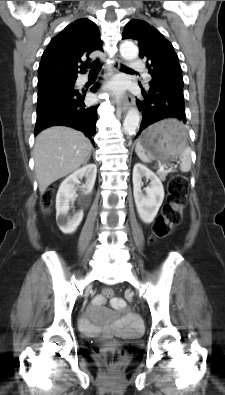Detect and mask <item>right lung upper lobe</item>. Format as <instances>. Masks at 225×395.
<instances>
[{"mask_svg":"<svg viewBox=\"0 0 225 395\" xmlns=\"http://www.w3.org/2000/svg\"><path fill=\"white\" fill-rule=\"evenodd\" d=\"M97 50L103 51L100 31L94 22L83 18L69 24L50 41L42 55L38 87L76 80L77 68L86 72L84 64L78 66L83 63L81 57Z\"/></svg>","mask_w":225,"mask_h":395,"instance_id":"obj_1","label":"right lung upper lobe"}]
</instances>
